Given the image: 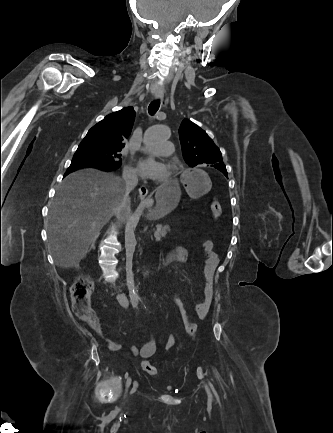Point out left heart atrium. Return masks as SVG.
Wrapping results in <instances>:
<instances>
[{
	"label": "left heart atrium",
	"instance_id": "39dd6f15",
	"mask_svg": "<svg viewBox=\"0 0 333 433\" xmlns=\"http://www.w3.org/2000/svg\"><path fill=\"white\" fill-rule=\"evenodd\" d=\"M138 172L144 178L162 180L167 175V167L162 162L143 158L138 161Z\"/></svg>",
	"mask_w": 333,
	"mask_h": 433
}]
</instances>
